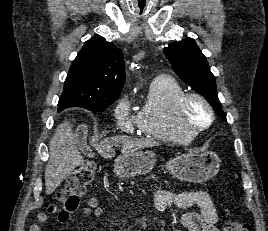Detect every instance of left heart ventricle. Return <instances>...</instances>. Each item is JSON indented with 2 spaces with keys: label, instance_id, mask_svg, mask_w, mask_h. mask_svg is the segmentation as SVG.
Listing matches in <instances>:
<instances>
[{
  "label": "left heart ventricle",
  "instance_id": "b2bd125f",
  "mask_svg": "<svg viewBox=\"0 0 268 231\" xmlns=\"http://www.w3.org/2000/svg\"><path fill=\"white\" fill-rule=\"evenodd\" d=\"M209 121L208 110L198 101H191L186 107L184 122L193 129L197 126L204 125Z\"/></svg>",
  "mask_w": 268,
  "mask_h": 231
}]
</instances>
